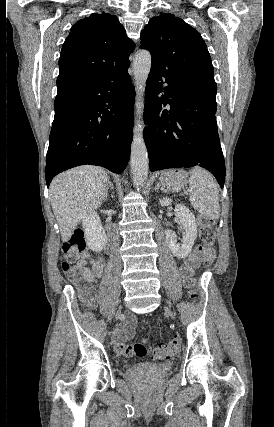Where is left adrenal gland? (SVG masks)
Returning a JSON list of instances; mask_svg holds the SVG:
<instances>
[{
	"mask_svg": "<svg viewBox=\"0 0 274 427\" xmlns=\"http://www.w3.org/2000/svg\"><path fill=\"white\" fill-rule=\"evenodd\" d=\"M154 190H160V186H158V184H157V186H156V188H154Z\"/></svg>",
	"mask_w": 274,
	"mask_h": 427,
	"instance_id": "1",
	"label": "left adrenal gland"
}]
</instances>
